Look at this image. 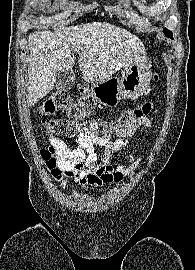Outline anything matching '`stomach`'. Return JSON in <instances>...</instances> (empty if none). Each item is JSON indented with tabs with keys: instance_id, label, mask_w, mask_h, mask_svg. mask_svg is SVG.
Instances as JSON below:
<instances>
[{
	"instance_id": "1",
	"label": "stomach",
	"mask_w": 195,
	"mask_h": 270,
	"mask_svg": "<svg viewBox=\"0 0 195 270\" xmlns=\"http://www.w3.org/2000/svg\"><path fill=\"white\" fill-rule=\"evenodd\" d=\"M150 68V62L145 55L137 58L124 67L121 79L111 77L93 83L92 94L99 103L108 107H116L121 99H136L148 88Z\"/></svg>"
}]
</instances>
